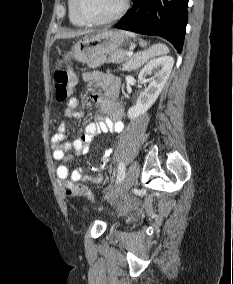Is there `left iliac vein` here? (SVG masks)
<instances>
[{"label":"left iliac vein","mask_w":233,"mask_h":284,"mask_svg":"<svg viewBox=\"0 0 233 284\" xmlns=\"http://www.w3.org/2000/svg\"><path fill=\"white\" fill-rule=\"evenodd\" d=\"M139 172H140L139 163L137 161H134L130 165L121 186L118 189H116L114 192H112L110 195L106 196L105 199L114 200L119 196H121L122 194L126 193L134 185L135 181L139 176Z\"/></svg>","instance_id":"1"}]
</instances>
